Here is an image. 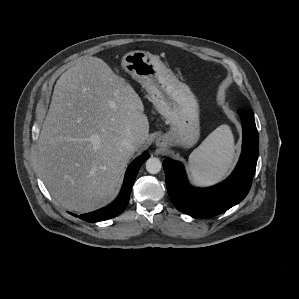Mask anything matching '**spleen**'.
<instances>
[{"instance_id": "3e777b00", "label": "spleen", "mask_w": 299, "mask_h": 299, "mask_svg": "<svg viewBox=\"0 0 299 299\" xmlns=\"http://www.w3.org/2000/svg\"><path fill=\"white\" fill-rule=\"evenodd\" d=\"M234 139L227 125L216 128L189 157L195 181L208 184L222 178L234 160Z\"/></svg>"}]
</instances>
